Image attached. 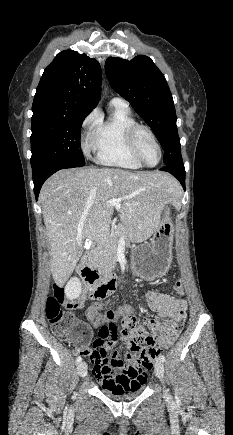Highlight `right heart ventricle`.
Returning a JSON list of instances; mask_svg holds the SVG:
<instances>
[{
	"mask_svg": "<svg viewBox=\"0 0 233 435\" xmlns=\"http://www.w3.org/2000/svg\"><path fill=\"white\" fill-rule=\"evenodd\" d=\"M136 123L127 107L114 104L106 119L97 120L89 140L97 150L96 159L99 164L129 170L142 168L131 153L127 141V132Z\"/></svg>",
	"mask_w": 233,
	"mask_h": 435,
	"instance_id": "obj_1",
	"label": "right heart ventricle"
}]
</instances>
